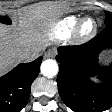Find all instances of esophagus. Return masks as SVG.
I'll list each match as a JSON object with an SVG mask.
<instances>
[{
  "instance_id": "esophagus-1",
  "label": "esophagus",
  "mask_w": 112,
  "mask_h": 112,
  "mask_svg": "<svg viewBox=\"0 0 112 112\" xmlns=\"http://www.w3.org/2000/svg\"><path fill=\"white\" fill-rule=\"evenodd\" d=\"M56 52L54 50H48L45 52V58H53Z\"/></svg>"
}]
</instances>
